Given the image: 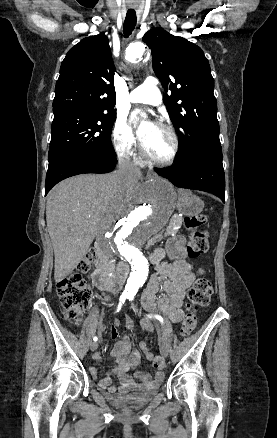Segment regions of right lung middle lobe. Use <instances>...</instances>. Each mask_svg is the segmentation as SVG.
I'll return each instance as SVG.
<instances>
[{"label": "right lung middle lobe", "instance_id": "dd1d6c3e", "mask_svg": "<svg viewBox=\"0 0 277 438\" xmlns=\"http://www.w3.org/2000/svg\"><path fill=\"white\" fill-rule=\"evenodd\" d=\"M115 119L116 114L54 116L48 169L72 158L94 154L116 155L111 143Z\"/></svg>", "mask_w": 277, "mask_h": 438}]
</instances>
